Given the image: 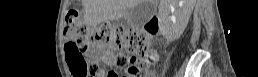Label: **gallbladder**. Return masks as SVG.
I'll use <instances>...</instances> for the list:
<instances>
[{"mask_svg": "<svg viewBox=\"0 0 258 77\" xmlns=\"http://www.w3.org/2000/svg\"><path fill=\"white\" fill-rule=\"evenodd\" d=\"M155 4L149 0H142L126 14L128 24L138 27L147 22L153 15Z\"/></svg>", "mask_w": 258, "mask_h": 77, "instance_id": "obj_1", "label": "gallbladder"}]
</instances>
